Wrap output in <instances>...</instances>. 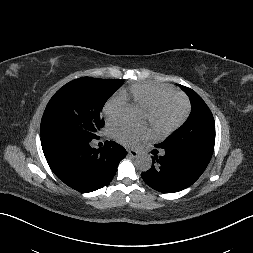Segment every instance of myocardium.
<instances>
[{"label": "myocardium", "instance_id": "f54148a6", "mask_svg": "<svg viewBox=\"0 0 253 253\" xmlns=\"http://www.w3.org/2000/svg\"><path fill=\"white\" fill-rule=\"evenodd\" d=\"M167 99L177 100L182 107V111H181L180 116L173 123L166 126H162L157 122L156 115L162 103ZM145 111L147 114V120L150 123V125L153 127L155 133L159 137H166L172 134L174 131H176L186 122L190 114V103L188 99L181 93L174 92V91L167 92L157 97L152 102V104L145 109Z\"/></svg>", "mask_w": 253, "mask_h": 253}]
</instances>
